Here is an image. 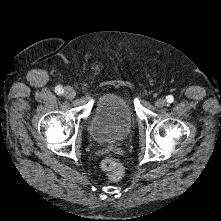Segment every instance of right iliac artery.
I'll return each mask as SVG.
<instances>
[{"mask_svg":"<svg viewBox=\"0 0 221 221\" xmlns=\"http://www.w3.org/2000/svg\"><path fill=\"white\" fill-rule=\"evenodd\" d=\"M55 92H56L57 94H62V93H63V88H62V86H57V87H55Z\"/></svg>","mask_w":221,"mask_h":221,"instance_id":"right-iliac-artery-1","label":"right iliac artery"}]
</instances>
